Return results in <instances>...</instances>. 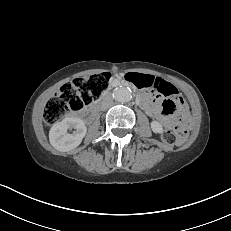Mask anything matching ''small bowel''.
<instances>
[{
  "mask_svg": "<svg viewBox=\"0 0 231 231\" xmlns=\"http://www.w3.org/2000/svg\"><path fill=\"white\" fill-rule=\"evenodd\" d=\"M129 80L139 89L148 90L149 92H143V99L145 101V110L153 117L162 120L167 125L175 124V119L169 115L170 111H167L172 101H166L163 104L159 103L153 98L151 92L157 91L161 83H169L161 77L145 74V73H130L128 74ZM171 84V83H169ZM172 85V84H171ZM178 106H183V102L178 99Z\"/></svg>",
  "mask_w": 231,
  "mask_h": 231,
  "instance_id": "small-bowel-1",
  "label": "small bowel"
}]
</instances>
